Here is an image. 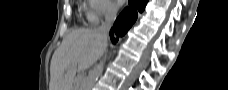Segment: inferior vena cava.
I'll list each match as a JSON object with an SVG mask.
<instances>
[{
    "mask_svg": "<svg viewBox=\"0 0 228 90\" xmlns=\"http://www.w3.org/2000/svg\"><path fill=\"white\" fill-rule=\"evenodd\" d=\"M117 15V10L114 6L109 5L107 6L106 13H105V22L101 24L99 28H97L96 32L99 36L103 39H107L109 30L114 23Z\"/></svg>",
    "mask_w": 228,
    "mask_h": 90,
    "instance_id": "inferior-vena-cava-1",
    "label": "inferior vena cava"
}]
</instances>
